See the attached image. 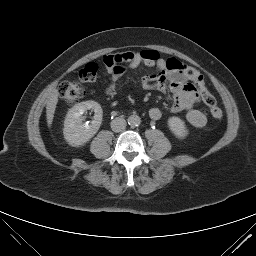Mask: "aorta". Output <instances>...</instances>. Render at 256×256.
<instances>
[{"instance_id": "obj_1", "label": "aorta", "mask_w": 256, "mask_h": 256, "mask_svg": "<svg viewBox=\"0 0 256 256\" xmlns=\"http://www.w3.org/2000/svg\"><path fill=\"white\" fill-rule=\"evenodd\" d=\"M127 121L130 126L134 127V126H138L140 124L141 119L137 115H131L128 117Z\"/></svg>"}]
</instances>
